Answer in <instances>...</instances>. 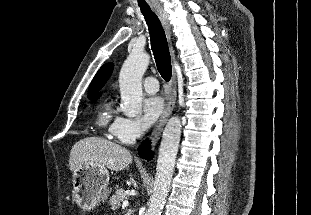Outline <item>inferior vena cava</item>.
<instances>
[{
	"label": "inferior vena cava",
	"mask_w": 311,
	"mask_h": 215,
	"mask_svg": "<svg viewBox=\"0 0 311 215\" xmlns=\"http://www.w3.org/2000/svg\"><path fill=\"white\" fill-rule=\"evenodd\" d=\"M140 135V131H137V136H139Z\"/></svg>",
	"instance_id": "obj_1"
}]
</instances>
